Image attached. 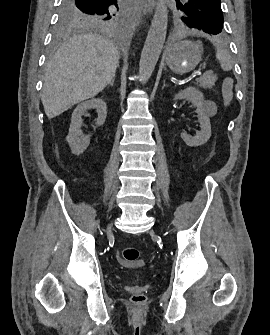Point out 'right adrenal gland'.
<instances>
[{
    "instance_id": "obj_1",
    "label": "right adrenal gland",
    "mask_w": 270,
    "mask_h": 335,
    "mask_svg": "<svg viewBox=\"0 0 270 335\" xmlns=\"http://www.w3.org/2000/svg\"><path fill=\"white\" fill-rule=\"evenodd\" d=\"M114 82H115V78H112V80L110 82V86H114Z\"/></svg>"
}]
</instances>
